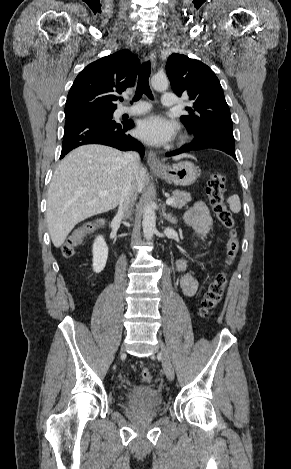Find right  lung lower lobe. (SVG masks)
I'll return each mask as SVG.
<instances>
[{"label": "right lung lower lobe", "instance_id": "right-lung-lower-lobe-1", "mask_svg": "<svg viewBox=\"0 0 291 469\" xmlns=\"http://www.w3.org/2000/svg\"><path fill=\"white\" fill-rule=\"evenodd\" d=\"M132 121L116 122L112 118L86 114L66 119L60 158L84 144H103L122 151L137 150L144 155V147L128 134Z\"/></svg>", "mask_w": 291, "mask_h": 469}]
</instances>
